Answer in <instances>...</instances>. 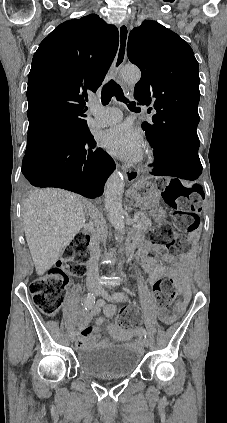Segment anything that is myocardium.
Here are the masks:
<instances>
[{"instance_id":"obj_1","label":"myocardium","mask_w":227,"mask_h":423,"mask_svg":"<svg viewBox=\"0 0 227 423\" xmlns=\"http://www.w3.org/2000/svg\"><path fill=\"white\" fill-rule=\"evenodd\" d=\"M155 161H156L155 150L150 148L147 152V156H146V159H145V165L146 166L152 165V164L155 163Z\"/></svg>"}]
</instances>
